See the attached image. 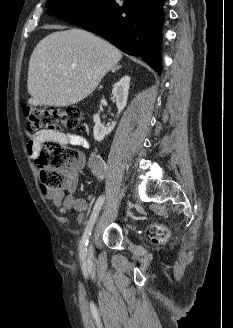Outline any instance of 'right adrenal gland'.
I'll return each instance as SVG.
<instances>
[{
  "label": "right adrenal gland",
  "instance_id": "1",
  "mask_svg": "<svg viewBox=\"0 0 233 328\" xmlns=\"http://www.w3.org/2000/svg\"><path fill=\"white\" fill-rule=\"evenodd\" d=\"M121 67H122V66H120V65H116L115 67L112 68L111 71H112V72H115V71L119 70Z\"/></svg>",
  "mask_w": 233,
  "mask_h": 328
}]
</instances>
